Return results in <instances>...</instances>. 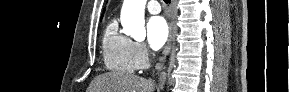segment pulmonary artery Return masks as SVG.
Listing matches in <instances>:
<instances>
[{"label": "pulmonary artery", "mask_w": 289, "mask_h": 92, "mask_svg": "<svg viewBox=\"0 0 289 92\" xmlns=\"http://www.w3.org/2000/svg\"><path fill=\"white\" fill-rule=\"evenodd\" d=\"M146 8L151 14H158L161 11L160 4L156 0L148 1Z\"/></svg>", "instance_id": "pulmonary-artery-1"}]
</instances>
